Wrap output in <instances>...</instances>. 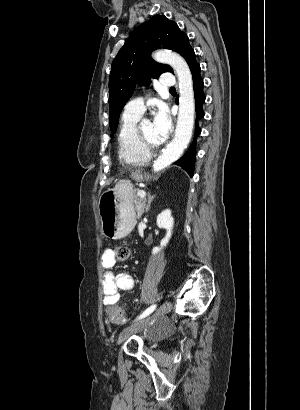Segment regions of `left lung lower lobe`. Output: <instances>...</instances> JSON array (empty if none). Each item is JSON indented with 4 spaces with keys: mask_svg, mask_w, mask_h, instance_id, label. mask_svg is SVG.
Masks as SVG:
<instances>
[{
    "mask_svg": "<svg viewBox=\"0 0 300 410\" xmlns=\"http://www.w3.org/2000/svg\"><path fill=\"white\" fill-rule=\"evenodd\" d=\"M189 68L192 73L193 83H194V96H195V109H196V123H195V135L191 146L184 156H182L175 164L184 168L190 176L194 174V163H195V148L196 139L200 134L201 130L198 126V121L203 118V104L205 102V95L203 92V79L200 75V65L197 63L195 58V53L191 55L188 61Z\"/></svg>",
    "mask_w": 300,
    "mask_h": 410,
    "instance_id": "left-lung-lower-lobe-1",
    "label": "left lung lower lobe"
}]
</instances>
